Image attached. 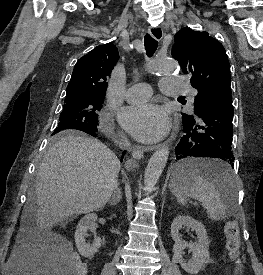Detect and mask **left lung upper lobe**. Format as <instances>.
<instances>
[{
	"label": "left lung upper lobe",
	"instance_id": "5c2ea615",
	"mask_svg": "<svg viewBox=\"0 0 263 275\" xmlns=\"http://www.w3.org/2000/svg\"><path fill=\"white\" fill-rule=\"evenodd\" d=\"M172 56L182 71L191 76V85L198 90L195 113L221 94H231L230 64L223 45L207 32L183 28L175 34ZM182 114V120H193Z\"/></svg>",
	"mask_w": 263,
	"mask_h": 275
}]
</instances>
